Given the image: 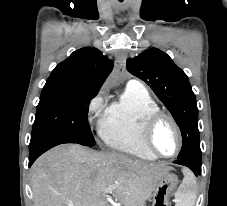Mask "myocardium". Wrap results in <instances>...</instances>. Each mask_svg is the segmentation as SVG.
<instances>
[{"mask_svg":"<svg viewBox=\"0 0 227 206\" xmlns=\"http://www.w3.org/2000/svg\"><path fill=\"white\" fill-rule=\"evenodd\" d=\"M162 120H166L172 125V127L175 130L176 136H177V147H176L175 152L171 155L161 154L155 148V146L153 144V140H152L153 132H154L156 126ZM141 138H142L143 145L150 153H152L156 157L166 158V159L175 157L180 152V150L182 148V143H183L182 133H181V129H180L178 123L170 114L163 112L161 110L155 111V112L149 114L145 118V120L142 124Z\"/></svg>","mask_w":227,"mask_h":206,"instance_id":"myocardium-1","label":"myocardium"}]
</instances>
